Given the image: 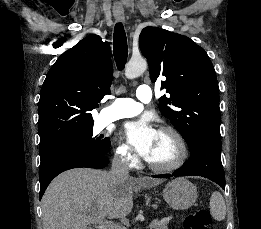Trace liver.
<instances>
[{
    "mask_svg": "<svg viewBox=\"0 0 261 229\" xmlns=\"http://www.w3.org/2000/svg\"><path fill=\"white\" fill-rule=\"evenodd\" d=\"M162 179H116L108 171L70 169L50 183L42 197L43 229H87L89 223L125 219L132 211L133 195L157 187Z\"/></svg>",
    "mask_w": 261,
    "mask_h": 229,
    "instance_id": "1",
    "label": "liver"
}]
</instances>
